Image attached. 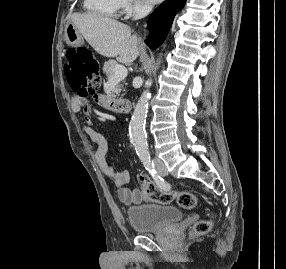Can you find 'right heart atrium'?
I'll list each match as a JSON object with an SVG mask.
<instances>
[{
  "mask_svg": "<svg viewBox=\"0 0 286 269\" xmlns=\"http://www.w3.org/2000/svg\"><path fill=\"white\" fill-rule=\"evenodd\" d=\"M123 9L127 14H143L149 7L143 0H123Z\"/></svg>",
  "mask_w": 286,
  "mask_h": 269,
  "instance_id": "right-heart-atrium-1",
  "label": "right heart atrium"
}]
</instances>
